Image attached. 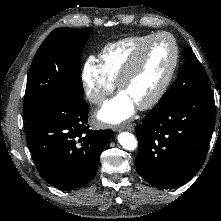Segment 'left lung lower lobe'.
<instances>
[{
    "instance_id": "obj_1",
    "label": "left lung lower lobe",
    "mask_w": 221,
    "mask_h": 221,
    "mask_svg": "<svg viewBox=\"0 0 221 221\" xmlns=\"http://www.w3.org/2000/svg\"><path fill=\"white\" fill-rule=\"evenodd\" d=\"M215 126L212 90L160 100L136 126L137 172L157 188H175L202 167Z\"/></svg>"
}]
</instances>
